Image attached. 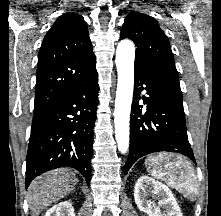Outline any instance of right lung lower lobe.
Returning a JSON list of instances; mask_svg holds the SVG:
<instances>
[{
  "label": "right lung lower lobe",
  "mask_w": 221,
  "mask_h": 216,
  "mask_svg": "<svg viewBox=\"0 0 221 216\" xmlns=\"http://www.w3.org/2000/svg\"><path fill=\"white\" fill-rule=\"evenodd\" d=\"M98 77L34 113L26 158V188L59 167L77 169L90 183Z\"/></svg>",
  "instance_id": "obj_1"
}]
</instances>
